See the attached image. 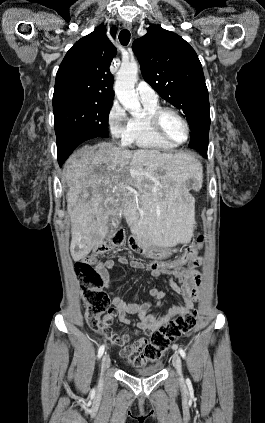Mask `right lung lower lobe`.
<instances>
[{
  "label": "right lung lower lobe",
  "mask_w": 265,
  "mask_h": 423,
  "mask_svg": "<svg viewBox=\"0 0 265 423\" xmlns=\"http://www.w3.org/2000/svg\"><path fill=\"white\" fill-rule=\"evenodd\" d=\"M92 138L95 137L84 132L69 131L57 138V146H62L68 152L72 153L79 144Z\"/></svg>",
  "instance_id": "98d812e1"
}]
</instances>
